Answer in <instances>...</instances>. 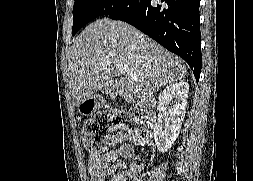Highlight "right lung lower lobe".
Returning <instances> with one entry per match:
<instances>
[{
	"label": "right lung lower lobe",
	"instance_id": "right-lung-lower-lobe-1",
	"mask_svg": "<svg viewBox=\"0 0 253 181\" xmlns=\"http://www.w3.org/2000/svg\"><path fill=\"white\" fill-rule=\"evenodd\" d=\"M200 0H128L111 19L125 21L183 58L196 81L202 68Z\"/></svg>",
	"mask_w": 253,
	"mask_h": 181
}]
</instances>
